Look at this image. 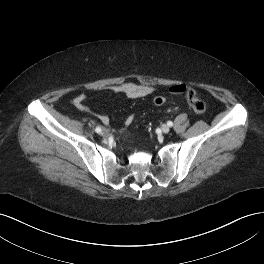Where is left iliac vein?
I'll return each instance as SVG.
<instances>
[{"label":"left iliac vein","mask_w":264,"mask_h":264,"mask_svg":"<svg viewBox=\"0 0 264 264\" xmlns=\"http://www.w3.org/2000/svg\"><path fill=\"white\" fill-rule=\"evenodd\" d=\"M161 130L163 133H168L170 131V127L166 124L162 125Z\"/></svg>","instance_id":"4c4485c4"}]
</instances>
